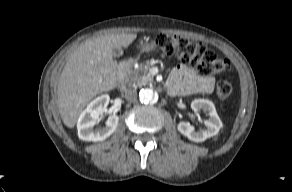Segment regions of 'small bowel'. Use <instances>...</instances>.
I'll return each instance as SVG.
<instances>
[{"instance_id":"c3829d8e","label":"small bowel","mask_w":292,"mask_h":192,"mask_svg":"<svg viewBox=\"0 0 292 192\" xmlns=\"http://www.w3.org/2000/svg\"><path fill=\"white\" fill-rule=\"evenodd\" d=\"M214 81L211 76H201L190 67L178 65L169 76L167 90L172 95L210 93L213 89Z\"/></svg>"}]
</instances>
